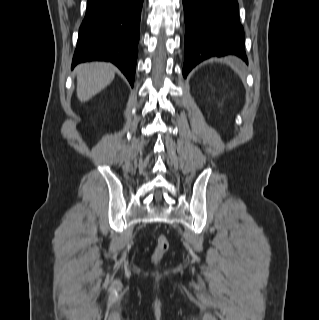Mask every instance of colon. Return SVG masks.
I'll use <instances>...</instances> for the list:
<instances>
[{
  "instance_id": "5ec220e1",
  "label": "colon",
  "mask_w": 319,
  "mask_h": 320,
  "mask_svg": "<svg viewBox=\"0 0 319 320\" xmlns=\"http://www.w3.org/2000/svg\"><path fill=\"white\" fill-rule=\"evenodd\" d=\"M169 248L168 238L161 234L157 237L154 260H158Z\"/></svg>"
}]
</instances>
